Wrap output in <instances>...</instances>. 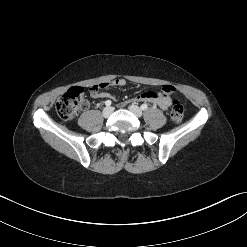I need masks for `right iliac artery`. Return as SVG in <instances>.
Segmentation results:
<instances>
[{
    "label": "right iliac artery",
    "instance_id": "82829eb1",
    "mask_svg": "<svg viewBox=\"0 0 247 247\" xmlns=\"http://www.w3.org/2000/svg\"><path fill=\"white\" fill-rule=\"evenodd\" d=\"M111 104H112L111 100L105 101V105H106V106H110Z\"/></svg>",
    "mask_w": 247,
    "mask_h": 247
}]
</instances>
